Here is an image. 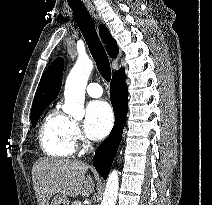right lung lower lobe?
<instances>
[{
    "mask_svg": "<svg viewBox=\"0 0 212 205\" xmlns=\"http://www.w3.org/2000/svg\"><path fill=\"white\" fill-rule=\"evenodd\" d=\"M125 80L126 75L123 68L116 71L113 75L110 84V95L115 115V124L108 138L96 150L93 158V165L104 179L107 178L110 171L126 123L128 89Z\"/></svg>",
    "mask_w": 212,
    "mask_h": 205,
    "instance_id": "98d812e1",
    "label": "right lung lower lobe"
}]
</instances>
